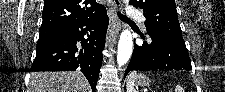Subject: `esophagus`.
<instances>
[{
    "instance_id": "34e87169",
    "label": "esophagus",
    "mask_w": 225,
    "mask_h": 92,
    "mask_svg": "<svg viewBox=\"0 0 225 92\" xmlns=\"http://www.w3.org/2000/svg\"><path fill=\"white\" fill-rule=\"evenodd\" d=\"M121 9L120 0H111L109 8V26L106 35V46H110L118 38L120 22L116 15V10Z\"/></svg>"
}]
</instances>
